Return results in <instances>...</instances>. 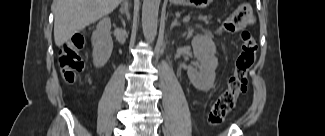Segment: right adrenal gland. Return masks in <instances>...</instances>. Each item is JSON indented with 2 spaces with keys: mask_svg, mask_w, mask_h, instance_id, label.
<instances>
[{
  "mask_svg": "<svg viewBox=\"0 0 325 136\" xmlns=\"http://www.w3.org/2000/svg\"><path fill=\"white\" fill-rule=\"evenodd\" d=\"M122 15H126L127 20L130 19V14L128 11V0L123 1L121 7H120V18H122ZM123 21V18H122ZM124 23V21H123Z\"/></svg>",
  "mask_w": 325,
  "mask_h": 136,
  "instance_id": "obj_1",
  "label": "right adrenal gland"
}]
</instances>
